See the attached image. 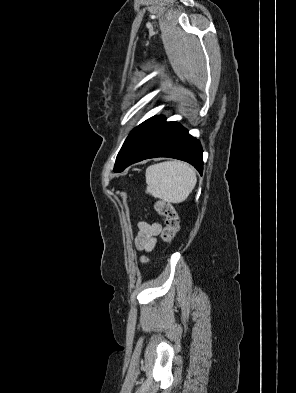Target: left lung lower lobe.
Segmentation results:
<instances>
[{
    "label": "left lung lower lobe",
    "mask_w": 296,
    "mask_h": 393,
    "mask_svg": "<svg viewBox=\"0 0 296 393\" xmlns=\"http://www.w3.org/2000/svg\"><path fill=\"white\" fill-rule=\"evenodd\" d=\"M155 157L180 159L192 164L200 174L203 171L200 142L179 123L166 122L161 116L156 117L143 132L121 171L133 163Z\"/></svg>",
    "instance_id": "0a47b994"
}]
</instances>
